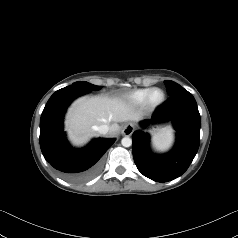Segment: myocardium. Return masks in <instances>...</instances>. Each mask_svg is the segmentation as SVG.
Returning a JSON list of instances; mask_svg holds the SVG:
<instances>
[{"label":"myocardium","instance_id":"1","mask_svg":"<svg viewBox=\"0 0 238 238\" xmlns=\"http://www.w3.org/2000/svg\"><path fill=\"white\" fill-rule=\"evenodd\" d=\"M156 92H160L162 95L161 99L157 102L153 101V95ZM165 99H166V94L161 88H152L146 97L145 104L150 109H156L164 103Z\"/></svg>","mask_w":238,"mask_h":238}]
</instances>
